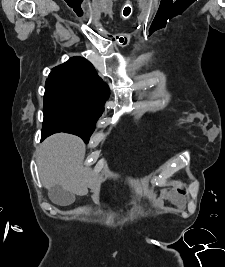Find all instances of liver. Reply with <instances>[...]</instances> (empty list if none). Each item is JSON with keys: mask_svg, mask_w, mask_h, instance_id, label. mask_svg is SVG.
<instances>
[{"mask_svg": "<svg viewBox=\"0 0 225 267\" xmlns=\"http://www.w3.org/2000/svg\"><path fill=\"white\" fill-rule=\"evenodd\" d=\"M85 144L74 135L57 133L48 137L37 150L39 176L45 188L60 185L79 196L93 192L99 203V185L90 168L83 166Z\"/></svg>", "mask_w": 225, "mask_h": 267, "instance_id": "1", "label": "liver"}]
</instances>
